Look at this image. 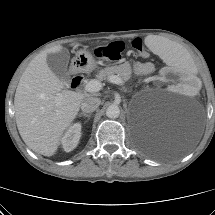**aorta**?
<instances>
[{"label":"aorta","instance_id":"762f6f07","mask_svg":"<svg viewBox=\"0 0 215 215\" xmlns=\"http://www.w3.org/2000/svg\"><path fill=\"white\" fill-rule=\"evenodd\" d=\"M120 115V108L116 104H111L107 109H106V116L108 118H117Z\"/></svg>","mask_w":215,"mask_h":215}]
</instances>
